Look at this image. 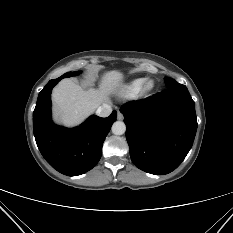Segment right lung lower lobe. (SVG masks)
Wrapping results in <instances>:
<instances>
[{
	"label": "right lung lower lobe",
	"instance_id": "right-lung-lower-lobe-1",
	"mask_svg": "<svg viewBox=\"0 0 233 233\" xmlns=\"http://www.w3.org/2000/svg\"><path fill=\"white\" fill-rule=\"evenodd\" d=\"M60 79L50 80L39 93L33 112V131L37 146L46 161L68 176L81 175L92 169L102 154V145L117 112L107 118L95 115L79 127L68 129L51 120V91Z\"/></svg>",
	"mask_w": 233,
	"mask_h": 233
}]
</instances>
